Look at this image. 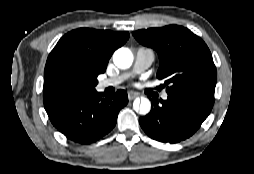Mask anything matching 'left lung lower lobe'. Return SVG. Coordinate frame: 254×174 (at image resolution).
I'll list each match as a JSON object with an SVG mask.
<instances>
[{
    "instance_id": "obj_1",
    "label": "left lung lower lobe",
    "mask_w": 254,
    "mask_h": 174,
    "mask_svg": "<svg viewBox=\"0 0 254 174\" xmlns=\"http://www.w3.org/2000/svg\"><path fill=\"white\" fill-rule=\"evenodd\" d=\"M151 112L139 119L145 133L160 142L177 143L192 136L208 117L214 102L191 94L171 93L151 100Z\"/></svg>"
}]
</instances>
